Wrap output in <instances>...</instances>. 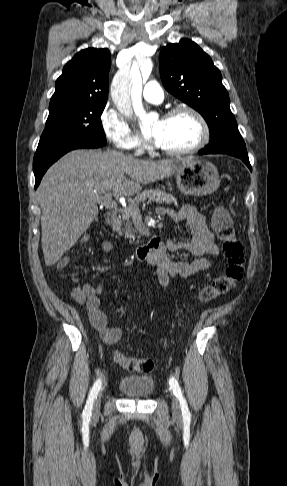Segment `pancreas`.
Wrapping results in <instances>:
<instances>
[{
    "instance_id": "cf45deb5",
    "label": "pancreas",
    "mask_w": 287,
    "mask_h": 486,
    "mask_svg": "<svg viewBox=\"0 0 287 486\" xmlns=\"http://www.w3.org/2000/svg\"><path fill=\"white\" fill-rule=\"evenodd\" d=\"M147 199L159 204H177V199L175 197L160 189L144 190L141 194H138L134 199L130 200L127 207L119 210L121 217L113 227L119 235H124L125 238L135 240L136 231L132 226L133 215L136 211H139L140 203H144Z\"/></svg>"
}]
</instances>
